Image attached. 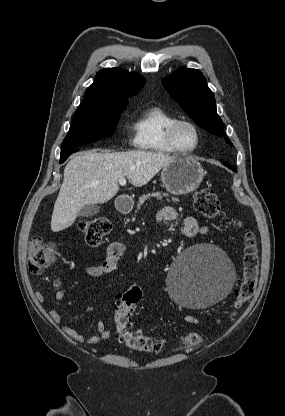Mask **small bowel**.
I'll return each instance as SVG.
<instances>
[{"label":"small bowel","mask_w":285,"mask_h":416,"mask_svg":"<svg viewBox=\"0 0 285 416\" xmlns=\"http://www.w3.org/2000/svg\"><path fill=\"white\" fill-rule=\"evenodd\" d=\"M176 218V210L168 206L163 207L157 215L158 221L172 222ZM181 231L186 237H194L196 235H206L210 233L208 227L200 225L199 222L191 216L185 217ZM123 252L124 245L122 243L118 241L111 242L106 248L103 261L99 264L87 266L85 269L86 274L90 277H99L103 274L114 271L117 268L118 260L122 256ZM66 295V289L61 288L56 291L55 299L57 301H61L66 297ZM36 298L39 302L44 301V296L41 292L36 293ZM49 316L54 323L61 325L62 331L66 336L79 343L95 345L101 340H108L113 336L112 331L106 327L103 321H99L97 323V334L86 337L78 333L69 325L64 324L61 315L55 308L52 307L49 309ZM185 321L188 323H197L198 318L196 316H187Z\"/></svg>","instance_id":"1"}]
</instances>
